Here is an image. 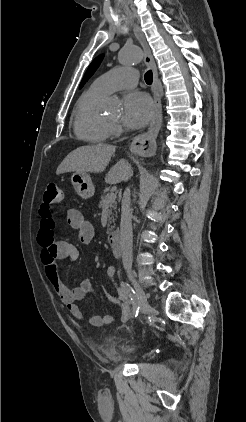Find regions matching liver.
Segmentation results:
<instances>
[{
	"instance_id": "6515ba94",
	"label": "liver",
	"mask_w": 246,
	"mask_h": 422,
	"mask_svg": "<svg viewBox=\"0 0 246 422\" xmlns=\"http://www.w3.org/2000/svg\"><path fill=\"white\" fill-rule=\"evenodd\" d=\"M115 147L107 144L79 147L68 154L58 166L56 174L66 172L102 173L109 164ZM132 175V169L125 159L118 161L107 173L105 182L117 184L127 180Z\"/></svg>"
}]
</instances>
